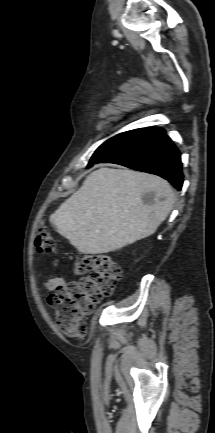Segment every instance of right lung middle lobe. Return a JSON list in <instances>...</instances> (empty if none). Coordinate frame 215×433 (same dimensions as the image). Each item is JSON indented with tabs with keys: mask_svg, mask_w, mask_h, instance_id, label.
<instances>
[{
	"mask_svg": "<svg viewBox=\"0 0 215 433\" xmlns=\"http://www.w3.org/2000/svg\"><path fill=\"white\" fill-rule=\"evenodd\" d=\"M142 130L143 128L127 131L108 139L101 146H99L92 155L87 168H90L93 166V164L100 163L119 152L121 149L127 146Z\"/></svg>",
	"mask_w": 215,
	"mask_h": 433,
	"instance_id": "dd1d6c3e",
	"label": "right lung middle lobe"
}]
</instances>
